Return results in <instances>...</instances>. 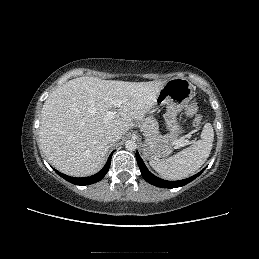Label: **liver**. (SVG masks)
<instances>
[{
  "instance_id": "1",
  "label": "liver",
  "mask_w": 259,
  "mask_h": 259,
  "mask_svg": "<svg viewBox=\"0 0 259 259\" xmlns=\"http://www.w3.org/2000/svg\"><path fill=\"white\" fill-rule=\"evenodd\" d=\"M167 81L125 82L96 77L72 79L45 101L39 143L48 161L59 171L84 177L103 166L111 131L125 134L155 105ZM114 100H122L118 116L106 119Z\"/></svg>"
}]
</instances>
